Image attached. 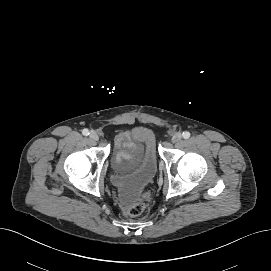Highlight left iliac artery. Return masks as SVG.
Listing matches in <instances>:
<instances>
[{
    "mask_svg": "<svg viewBox=\"0 0 271 271\" xmlns=\"http://www.w3.org/2000/svg\"><path fill=\"white\" fill-rule=\"evenodd\" d=\"M189 137H190V132H188V131L183 132L184 139H188Z\"/></svg>",
    "mask_w": 271,
    "mask_h": 271,
    "instance_id": "obj_1",
    "label": "left iliac artery"
}]
</instances>
